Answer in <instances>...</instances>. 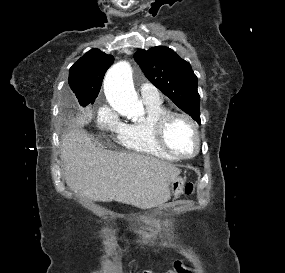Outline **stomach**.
<instances>
[{"instance_id":"1","label":"stomach","mask_w":285,"mask_h":273,"mask_svg":"<svg viewBox=\"0 0 285 273\" xmlns=\"http://www.w3.org/2000/svg\"><path fill=\"white\" fill-rule=\"evenodd\" d=\"M184 183L185 180L183 178L181 177L174 178L171 182V188H170L171 195H173L174 197H178L183 191Z\"/></svg>"}]
</instances>
